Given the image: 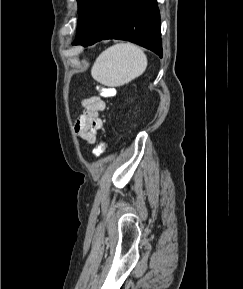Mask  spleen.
I'll use <instances>...</instances> for the list:
<instances>
[{
  "mask_svg": "<svg viewBox=\"0 0 243 289\" xmlns=\"http://www.w3.org/2000/svg\"><path fill=\"white\" fill-rule=\"evenodd\" d=\"M146 67L147 57L142 49L131 43H119L97 57L91 75L105 86L118 87L139 77Z\"/></svg>",
  "mask_w": 243,
  "mask_h": 289,
  "instance_id": "spleen-1",
  "label": "spleen"
}]
</instances>
